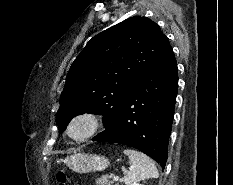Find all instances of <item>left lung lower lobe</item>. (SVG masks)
<instances>
[{"label":"left lung lower lobe","mask_w":233,"mask_h":185,"mask_svg":"<svg viewBox=\"0 0 233 185\" xmlns=\"http://www.w3.org/2000/svg\"><path fill=\"white\" fill-rule=\"evenodd\" d=\"M177 89V63L168 45L138 80L116 121L93 141L134 147L164 168Z\"/></svg>","instance_id":"0a47b994"}]
</instances>
